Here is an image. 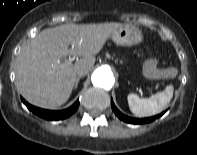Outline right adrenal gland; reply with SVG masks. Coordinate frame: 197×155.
I'll return each mask as SVG.
<instances>
[{
  "instance_id": "obj_1",
  "label": "right adrenal gland",
  "mask_w": 197,
  "mask_h": 155,
  "mask_svg": "<svg viewBox=\"0 0 197 155\" xmlns=\"http://www.w3.org/2000/svg\"><path fill=\"white\" fill-rule=\"evenodd\" d=\"M80 78H81V77H78L77 80H76V83H75V85H74V88H75V89H76L77 86H78V83H79Z\"/></svg>"
}]
</instances>
